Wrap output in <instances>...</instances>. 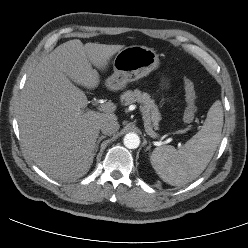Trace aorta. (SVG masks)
Segmentation results:
<instances>
[{
  "label": "aorta",
  "instance_id": "762f6f07",
  "mask_svg": "<svg viewBox=\"0 0 248 248\" xmlns=\"http://www.w3.org/2000/svg\"><path fill=\"white\" fill-rule=\"evenodd\" d=\"M124 145L128 149H136L140 145V138L136 133H128L123 139Z\"/></svg>",
  "mask_w": 248,
  "mask_h": 248
}]
</instances>
